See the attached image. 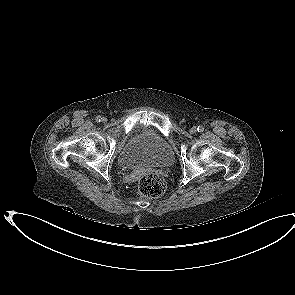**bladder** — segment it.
Returning <instances> with one entry per match:
<instances>
[{"label":"bladder","mask_w":295,"mask_h":295,"mask_svg":"<svg viewBox=\"0 0 295 295\" xmlns=\"http://www.w3.org/2000/svg\"><path fill=\"white\" fill-rule=\"evenodd\" d=\"M119 163L125 169L137 167H169L174 162L171 145L152 130L132 136L119 152Z\"/></svg>","instance_id":"31cf9c89"}]
</instances>
